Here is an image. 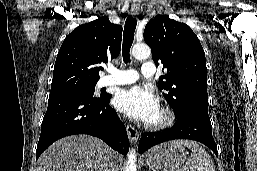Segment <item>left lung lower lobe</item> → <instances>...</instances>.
Returning a JSON list of instances; mask_svg holds the SVG:
<instances>
[{
	"label": "left lung lower lobe",
	"mask_w": 257,
	"mask_h": 171,
	"mask_svg": "<svg viewBox=\"0 0 257 171\" xmlns=\"http://www.w3.org/2000/svg\"><path fill=\"white\" fill-rule=\"evenodd\" d=\"M174 139L196 140L208 146L216 155L218 153L208 112L195 109L176 115L175 124L167 130L142 133L139 152L143 153L154 145Z\"/></svg>",
	"instance_id": "left-lung-lower-lobe-1"
}]
</instances>
